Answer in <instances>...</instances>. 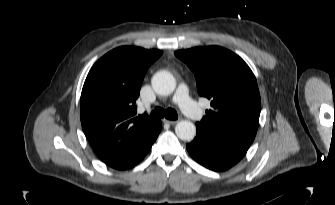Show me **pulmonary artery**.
I'll list each match as a JSON object with an SVG mask.
<instances>
[{
    "instance_id": "e3ab8cb5",
    "label": "pulmonary artery",
    "mask_w": 335,
    "mask_h": 205,
    "mask_svg": "<svg viewBox=\"0 0 335 205\" xmlns=\"http://www.w3.org/2000/svg\"><path fill=\"white\" fill-rule=\"evenodd\" d=\"M173 101L178 104L181 110L191 119H201L202 111L198 107V105L190 98L186 85H179L174 95Z\"/></svg>"
}]
</instances>
